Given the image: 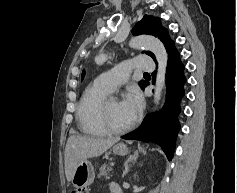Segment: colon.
I'll use <instances>...</instances> for the list:
<instances>
[{
    "label": "colon",
    "instance_id": "1",
    "mask_svg": "<svg viewBox=\"0 0 237 193\" xmlns=\"http://www.w3.org/2000/svg\"><path fill=\"white\" fill-rule=\"evenodd\" d=\"M71 193H88L86 188L78 187L71 191Z\"/></svg>",
    "mask_w": 237,
    "mask_h": 193
}]
</instances>
